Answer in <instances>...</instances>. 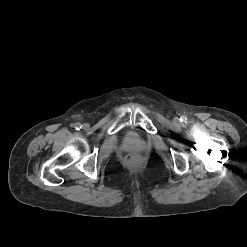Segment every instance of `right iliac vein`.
Instances as JSON below:
<instances>
[{
  "instance_id": "1",
  "label": "right iliac vein",
  "mask_w": 247,
  "mask_h": 247,
  "mask_svg": "<svg viewBox=\"0 0 247 247\" xmlns=\"http://www.w3.org/2000/svg\"><path fill=\"white\" fill-rule=\"evenodd\" d=\"M88 127H89V125H88V124H86V123H85V124H83V128H84V129H87Z\"/></svg>"
}]
</instances>
